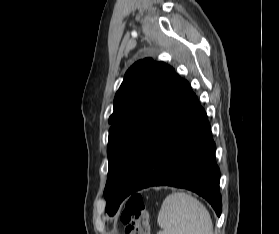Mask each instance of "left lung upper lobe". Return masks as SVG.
<instances>
[{
    "label": "left lung upper lobe",
    "mask_w": 279,
    "mask_h": 234,
    "mask_svg": "<svg viewBox=\"0 0 279 234\" xmlns=\"http://www.w3.org/2000/svg\"><path fill=\"white\" fill-rule=\"evenodd\" d=\"M175 70L152 58L137 61L126 72L114 99L107 154L109 170L104 196L105 211L114 215L120 194L128 177L138 148L158 109Z\"/></svg>",
    "instance_id": "1"
}]
</instances>
